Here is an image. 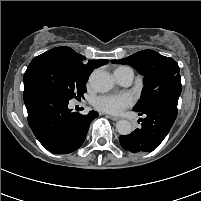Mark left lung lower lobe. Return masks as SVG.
<instances>
[{"instance_id":"obj_1","label":"left lung lower lobe","mask_w":201,"mask_h":201,"mask_svg":"<svg viewBox=\"0 0 201 201\" xmlns=\"http://www.w3.org/2000/svg\"><path fill=\"white\" fill-rule=\"evenodd\" d=\"M137 112L140 116H145L144 119H140L141 128L128 135H121L120 144L132 153L152 152L170 131L177 116V104L159 102Z\"/></svg>"}]
</instances>
